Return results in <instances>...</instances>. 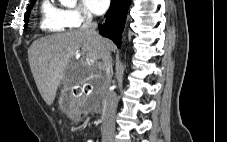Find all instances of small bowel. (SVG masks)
<instances>
[{
    "label": "small bowel",
    "instance_id": "c3829d8e",
    "mask_svg": "<svg viewBox=\"0 0 227 142\" xmlns=\"http://www.w3.org/2000/svg\"><path fill=\"white\" fill-rule=\"evenodd\" d=\"M86 142H93L92 140H87Z\"/></svg>",
    "mask_w": 227,
    "mask_h": 142
}]
</instances>
